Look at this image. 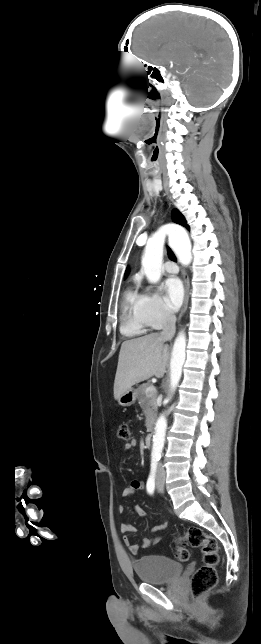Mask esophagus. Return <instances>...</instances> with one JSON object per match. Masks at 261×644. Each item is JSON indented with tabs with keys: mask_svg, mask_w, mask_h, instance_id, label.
<instances>
[{
	"mask_svg": "<svg viewBox=\"0 0 261 644\" xmlns=\"http://www.w3.org/2000/svg\"><path fill=\"white\" fill-rule=\"evenodd\" d=\"M184 288H185V296H184V303H183L180 316H182L186 312L188 307V302H189L190 282H189V277L187 276L186 273H184Z\"/></svg>",
	"mask_w": 261,
	"mask_h": 644,
	"instance_id": "obj_1",
	"label": "esophagus"
}]
</instances>
